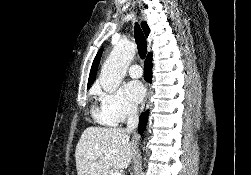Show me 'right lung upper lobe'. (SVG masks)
I'll return each mask as SVG.
<instances>
[{
  "instance_id": "right-lung-upper-lobe-1",
  "label": "right lung upper lobe",
  "mask_w": 251,
  "mask_h": 175,
  "mask_svg": "<svg viewBox=\"0 0 251 175\" xmlns=\"http://www.w3.org/2000/svg\"><path fill=\"white\" fill-rule=\"evenodd\" d=\"M142 28L144 30L145 35L148 36L150 30H149V27L147 26L146 22L142 23ZM101 54H102V50H100L98 52V54L96 55V57H95V59L93 61L91 71H90V75H89V79H88V88L92 85V83L95 80L96 73H97V67H98V64H99V61H100ZM151 58H152V53L150 52L148 54V56H147V59H151Z\"/></svg>"
}]
</instances>
